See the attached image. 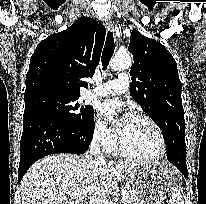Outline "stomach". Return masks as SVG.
<instances>
[{
    "label": "stomach",
    "mask_w": 206,
    "mask_h": 204,
    "mask_svg": "<svg viewBox=\"0 0 206 204\" xmlns=\"http://www.w3.org/2000/svg\"><path fill=\"white\" fill-rule=\"evenodd\" d=\"M127 182L139 204H164L167 197L180 189L181 177L168 163H152L135 167Z\"/></svg>",
    "instance_id": "obj_1"
}]
</instances>
